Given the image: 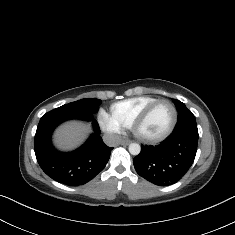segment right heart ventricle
<instances>
[{"label":"right heart ventricle","instance_id":"obj_1","mask_svg":"<svg viewBox=\"0 0 235 235\" xmlns=\"http://www.w3.org/2000/svg\"><path fill=\"white\" fill-rule=\"evenodd\" d=\"M158 98L142 95L114 103L110 107L111 116L123 127L130 129L134 120Z\"/></svg>","mask_w":235,"mask_h":235}]
</instances>
